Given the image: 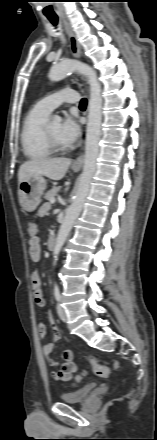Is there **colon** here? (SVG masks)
Instances as JSON below:
<instances>
[{"label": "colon", "mask_w": 157, "mask_h": 440, "mask_svg": "<svg viewBox=\"0 0 157 440\" xmlns=\"http://www.w3.org/2000/svg\"><path fill=\"white\" fill-rule=\"evenodd\" d=\"M27 232L30 237L38 236V225L35 222H29L27 224ZM89 361L92 363L94 367V373L96 376L105 377L108 374V362L103 359H97L95 357L90 356ZM79 377L77 378V381Z\"/></svg>", "instance_id": "1"}]
</instances>
